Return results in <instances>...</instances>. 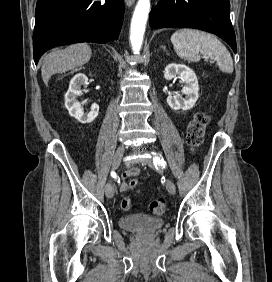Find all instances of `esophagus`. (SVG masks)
<instances>
[{
	"label": "esophagus",
	"mask_w": 272,
	"mask_h": 282,
	"mask_svg": "<svg viewBox=\"0 0 272 282\" xmlns=\"http://www.w3.org/2000/svg\"><path fill=\"white\" fill-rule=\"evenodd\" d=\"M135 0H125V4L130 7L134 4Z\"/></svg>",
	"instance_id": "1"
}]
</instances>
